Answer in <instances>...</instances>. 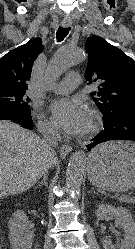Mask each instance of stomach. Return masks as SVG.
Instances as JSON below:
<instances>
[{
    "label": "stomach",
    "instance_id": "1",
    "mask_svg": "<svg viewBox=\"0 0 135 249\" xmlns=\"http://www.w3.org/2000/svg\"><path fill=\"white\" fill-rule=\"evenodd\" d=\"M90 182L107 191L125 192L135 187V143L111 141L89 155Z\"/></svg>",
    "mask_w": 135,
    "mask_h": 249
}]
</instances>
